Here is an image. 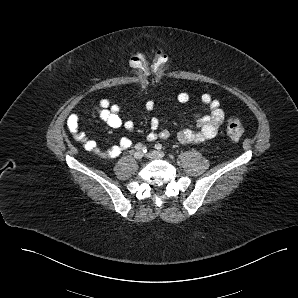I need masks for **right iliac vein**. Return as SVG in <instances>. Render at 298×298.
I'll return each mask as SVG.
<instances>
[{"instance_id":"1","label":"right iliac vein","mask_w":298,"mask_h":298,"mask_svg":"<svg viewBox=\"0 0 298 298\" xmlns=\"http://www.w3.org/2000/svg\"><path fill=\"white\" fill-rule=\"evenodd\" d=\"M143 155H144V154H143L142 151H136V152L134 153V158L137 159V160H139V159H142Z\"/></svg>"}]
</instances>
